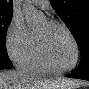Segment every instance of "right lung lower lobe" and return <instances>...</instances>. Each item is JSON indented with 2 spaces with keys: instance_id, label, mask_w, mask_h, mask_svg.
Here are the masks:
<instances>
[{
  "instance_id": "obj_1",
  "label": "right lung lower lobe",
  "mask_w": 89,
  "mask_h": 89,
  "mask_svg": "<svg viewBox=\"0 0 89 89\" xmlns=\"http://www.w3.org/2000/svg\"><path fill=\"white\" fill-rule=\"evenodd\" d=\"M12 67L8 58L6 47L0 51V69Z\"/></svg>"
}]
</instances>
